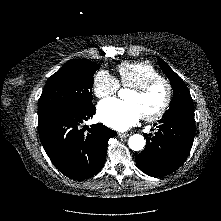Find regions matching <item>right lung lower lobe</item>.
Listing matches in <instances>:
<instances>
[{
  "instance_id": "right-lung-lower-lobe-1",
  "label": "right lung lower lobe",
  "mask_w": 221,
  "mask_h": 221,
  "mask_svg": "<svg viewBox=\"0 0 221 221\" xmlns=\"http://www.w3.org/2000/svg\"><path fill=\"white\" fill-rule=\"evenodd\" d=\"M94 114L93 104L38 114L39 137L47 155L60 172L74 180L88 179L103 167L108 140L117 134L101 123L84 133L81 124Z\"/></svg>"
}]
</instances>
